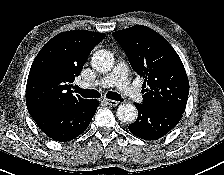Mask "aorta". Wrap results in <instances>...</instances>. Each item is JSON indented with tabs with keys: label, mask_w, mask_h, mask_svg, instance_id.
Returning <instances> with one entry per match:
<instances>
[{
	"label": "aorta",
	"mask_w": 224,
	"mask_h": 175,
	"mask_svg": "<svg viewBox=\"0 0 224 175\" xmlns=\"http://www.w3.org/2000/svg\"><path fill=\"white\" fill-rule=\"evenodd\" d=\"M91 65L99 72H108L114 65L113 55L107 50H99L93 54ZM117 117L124 123H132L137 119L138 111L133 104L123 103L117 109Z\"/></svg>",
	"instance_id": "obj_1"
}]
</instances>
